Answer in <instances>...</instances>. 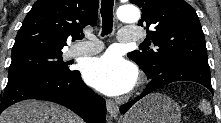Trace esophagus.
I'll use <instances>...</instances> for the list:
<instances>
[{"instance_id": "obj_1", "label": "esophagus", "mask_w": 221, "mask_h": 123, "mask_svg": "<svg viewBox=\"0 0 221 123\" xmlns=\"http://www.w3.org/2000/svg\"><path fill=\"white\" fill-rule=\"evenodd\" d=\"M107 110L113 118H116L119 112V107L117 104L112 102L111 100L106 101Z\"/></svg>"}]
</instances>
